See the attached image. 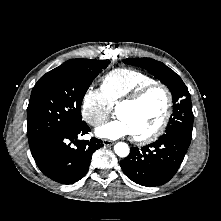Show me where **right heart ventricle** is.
Segmentation results:
<instances>
[{
    "label": "right heart ventricle",
    "mask_w": 221,
    "mask_h": 221,
    "mask_svg": "<svg viewBox=\"0 0 221 221\" xmlns=\"http://www.w3.org/2000/svg\"><path fill=\"white\" fill-rule=\"evenodd\" d=\"M155 80L140 71L118 68L108 72L101 79V90L112 107L139 88Z\"/></svg>",
    "instance_id": "e07e8e85"
}]
</instances>
